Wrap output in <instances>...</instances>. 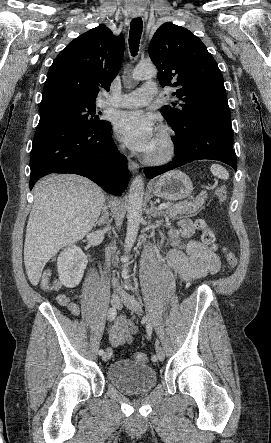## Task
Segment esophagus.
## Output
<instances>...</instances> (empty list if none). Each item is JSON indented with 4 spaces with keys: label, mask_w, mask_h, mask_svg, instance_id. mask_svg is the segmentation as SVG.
Instances as JSON below:
<instances>
[{
    "label": "esophagus",
    "mask_w": 271,
    "mask_h": 443,
    "mask_svg": "<svg viewBox=\"0 0 271 443\" xmlns=\"http://www.w3.org/2000/svg\"><path fill=\"white\" fill-rule=\"evenodd\" d=\"M140 15H132V18L139 17ZM128 168L132 174H136L139 171V164L134 160L128 159Z\"/></svg>",
    "instance_id": "esophagus-1"
}]
</instances>
